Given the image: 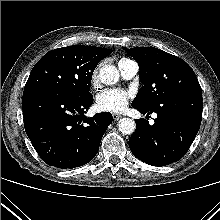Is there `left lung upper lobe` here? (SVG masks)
Returning <instances> with one entry per match:
<instances>
[{"label":"left lung upper lobe","mask_w":220,"mask_h":220,"mask_svg":"<svg viewBox=\"0 0 220 220\" xmlns=\"http://www.w3.org/2000/svg\"><path fill=\"white\" fill-rule=\"evenodd\" d=\"M125 51L137 61L143 83L132 106L152 110L183 93L201 91L194 71L181 58L153 47Z\"/></svg>","instance_id":"5c2ea615"}]
</instances>
